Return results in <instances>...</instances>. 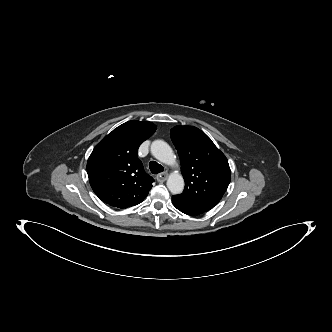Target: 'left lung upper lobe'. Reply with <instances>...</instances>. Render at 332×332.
<instances>
[{"label": "left lung upper lobe", "mask_w": 332, "mask_h": 332, "mask_svg": "<svg viewBox=\"0 0 332 332\" xmlns=\"http://www.w3.org/2000/svg\"><path fill=\"white\" fill-rule=\"evenodd\" d=\"M170 136L180 157L185 180L183 193L174 197L204 212L212 209L221 200L231 180L227 158L196 127L176 126L171 129Z\"/></svg>", "instance_id": "5c2ea615"}]
</instances>
